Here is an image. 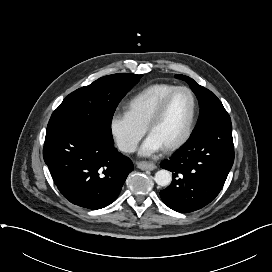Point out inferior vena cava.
Instances as JSON below:
<instances>
[{
  "mask_svg": "<svg viewBox=\"0 0 272 272\" xmlns=\"http://www.w3.org/2000/svg\"><path fill=\"white\" fill-rule=\"evenodd\" d=\"M119 148H120V150H122L124 152L132 153V152H135V150H136V144L125 143V144H122Z\"/></svg>",
  "mask_w": 272,
  "mask_h": 272,
  "instance_id": "602c4592",
  "label": "inferior vena cava"
}]
</instances>
